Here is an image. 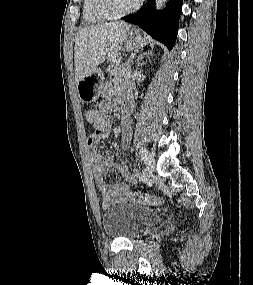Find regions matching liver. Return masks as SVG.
<instances>
[{"instance_id":"liver-1","label":"liver","mask_w":253,"mask_h":285,"mask_svg":"<svg viewBox=\"0 0 253 285\" xmlns=\"http://www.w3.org/2000/svg\"><path fill=\"white\" fill-rule=\"evenodd\" d=\"M130 28L131 25L124 22L102 23L77 33L74 48L76 83L121 50Z\"/></svg>"}]
</instances>
